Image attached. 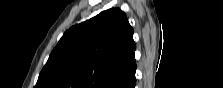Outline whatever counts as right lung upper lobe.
<instances>
[{"mask_svg": "<svg viewBox=\"0 0 223 88\" xmlns=\"http://www.w3.org/2000/svg\"><path fill=\"white\" fill-rule=\"evenodd\" d=\"M135 49L125 13L105 10L64 33L35 88H129Z\"/></svg>", "mask_w": 223, "mask_h": 88, "instance_id": "right-lung-upper-lobe-1", "label": "right lung upper lobe"}]
</instances>
